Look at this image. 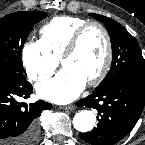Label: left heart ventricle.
Masks as SVG:
<instances>
[{"instance_id":"obj_1","label":"left heart ventricle","mask_w":145,"mask_h":145,"mask_svg":"<svg viewBox=\"0 0 145 145\" xmlns=\"http://www.w3.org/2000/svg\"><path fill=\"white\" fill-rule=\"evenodd\" d=\"M105 55L103 33L98 28L91 27L83 34L75 52L64 60L63 66L73 68L88 82L99 73Z\"/></svg>"}]
</instances>
